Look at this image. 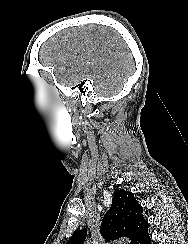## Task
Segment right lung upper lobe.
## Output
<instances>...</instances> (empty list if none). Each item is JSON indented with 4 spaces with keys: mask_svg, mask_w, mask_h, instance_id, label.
Instances as JSON below:
<instances>
[{
    "mask_svg": "<svg viewBox=\"0 0 188 244\" xmlns=\"http://www.w3.org/2000/svg\"><path fill=\"white\" fill-rule=\"evenodd\" d=\"M148 230V223L142 215L140 206L131 192L118 190L109 211L104 215L100 232L106 241L126 237L131 244H136ZM87 234L86 229L77 230L66 244H82Z\"/></svg>",
    "mask_w": 188,
    "mask_h": 244,
    "instance_id": "cb5924a9",
    "label": "right lung upper lobe"
}]
</instances>
